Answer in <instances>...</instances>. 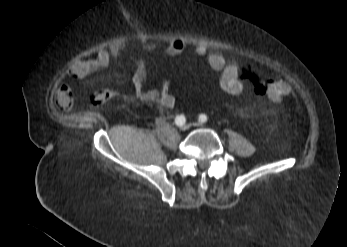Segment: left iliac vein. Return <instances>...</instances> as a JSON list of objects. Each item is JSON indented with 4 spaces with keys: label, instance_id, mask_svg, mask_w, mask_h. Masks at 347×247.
<instances>
[{
    "label": "left iliac vein",
    "instance_id": "obj_1",
    "mask_svg": "<svg viewBox=\"0 0 347 247\" xmlns=\"http://www.w3.org/2000/svg\"><path fill=\"white\" fill-rule=\"evenodd\" d=\"M193 126L202 127V123H200V122H195V123H193Z\"/></svg>",
    "mask_w": 347,
    "mask_h": 247
}]
</instances>
